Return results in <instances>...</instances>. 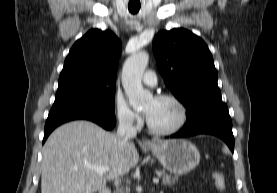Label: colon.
<instances>
[{"label":"colon","instance_id":"1","mask_svg":"<svg viewBox=\"0 0 277 193\" xmlns=\"http://www.w3.org/2000/svg\"><path fill=\"white\" fill-rule=\"evenodd\" d=\"M212 180L215 185V187L219 191H224L226 189V179L223 173L221 172H213L212 174Z\"/></svg>","mask_w":277,"mask_h":193}]
</instances>
